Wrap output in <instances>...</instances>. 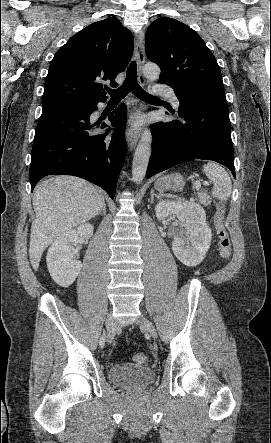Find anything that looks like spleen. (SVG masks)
I'll list each match as a JSON object with an SVG mask.
<instances>
[{
    "instance_id": "3e777b00",
    "label": "spleen",
    "mask_w": 271,
    "mask_h": 443,
    "mask_svg": "<svg viewBox=\"0 0 271 443\" xmlns=\"http://www.w3.org/2000/svg\"><path fill=\"white\" fill-rule=\"evenodd\" d=\"M203 172H205L207 178L212 180L214 186L211 192L213 198H218V200H228L231 196L232 182L227 174L226 170L218 164H213V162H208L203 166Z\"/></svg>"
}]
</instances>
